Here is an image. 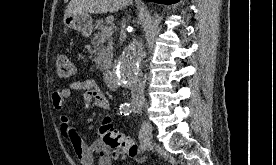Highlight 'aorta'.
<instances>
[{"label": "aorta", "mask_w": 276, "mask_h": 165, "mask_svg": "<svg viewBox=\"0 0 276 165\" xmlns=\"http://www.w3.org/2000/svg\"><path fill=\"white\" fill-rule=\"evenodd\" d=\"M138 49L135 40L126 47L125 54L117 67V74L121 80H128L132 74L139 70L141 60L138 57Z\"/></svg>", "instance_id": "762f6f07"}]
</instances>
